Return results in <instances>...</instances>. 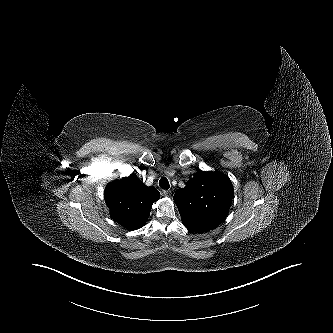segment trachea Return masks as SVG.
<instances>
[{
	"mask_svg": "<svg viewBox=\"0 0 333 333\" xmlns=\"http://www.w3.org/2000/svg\"><path fill=\"white\" fill-rule=\"evenodd\" d=\"M159 186L162 189L168 190L170 188L169 182L165 177H162L159 181Z\"/></svg>",
	"mask_w": 333,
	"mask_h": 333,
	"instance_id": "trachea-1",
	"label": "trachea"
}]
</instances>
